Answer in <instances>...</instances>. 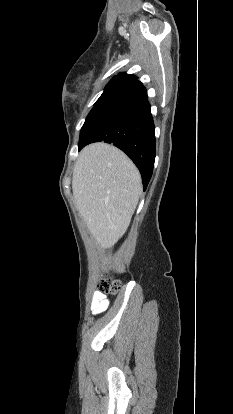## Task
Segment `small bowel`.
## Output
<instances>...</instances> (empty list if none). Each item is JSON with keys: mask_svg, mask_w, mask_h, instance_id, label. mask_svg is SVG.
<instances>
[{"mask_svg": "<svg viewBox=\"0 0 233 414\" xmlns=\"http://www.w3.org/2000/svg\"><path fill=\"white\" fill-rule=\"evenodd\" d=\"M109 305V300L106 295L100 291L93 294L91 300V311L93 315H98L104 312Z\"/></svg>", "mask_w": 233, "mask_h": 414, "instance_id": "1", "label": "small bowel"}]
</instances>
